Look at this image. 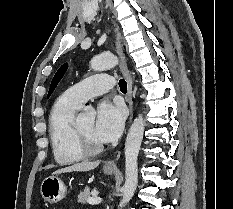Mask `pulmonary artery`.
<instances>
[{"mask_svg":"<svg viewBox=\"0 0 233 209\" xmlns=\"http://www.w3.org/2000/svg\"><path fill=\"white\" fill-rule=\"evenodd\" d=\"M114 86V79L109 75L90 76L70 87L66 94L78 106H82L89 98L104 94Z\"/></svg>","mask_w":233,"mask_h":209,"instance_id":"pulmonary-artery-1","label":"pulmonary artery"}]
</instances>
